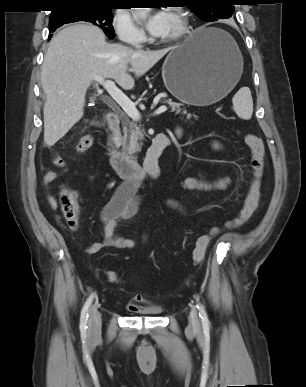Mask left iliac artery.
<instances>
[{
	"label": "left iliac artery",
	"instance_id": "left-iliac-artery-1",
	"mask_svg": "<svg viewBox=\"0 0 306 387\" xmlns=\"http://www.w3.org/2000/svg\"><path fill=\"white\" fill-rule=\"evenodd\" d=\"M198 301V300H197ZM197 308L199 310V316L202 320V324H203V327L204 328H208L209 327V320H208V316H207V313L203 307V305L198 301L197 303Z\"/></svg>",
	"mask_w": 306,
	"mask_h": 387
}]
</instances>
